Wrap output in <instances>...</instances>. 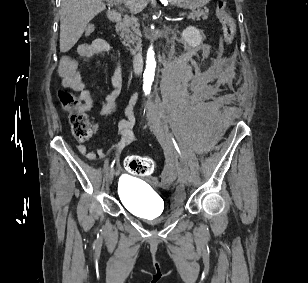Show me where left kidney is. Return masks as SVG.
<instances>
[{
	"label": "left kidney",
	"instance_id": "5707ae66",
	"mask_svg": "<svg viewBox=\"0 0 308 283\" xmlns=\"http://www.w3.org/2000/svg\"><path fill=\"white\" fill-rule=\"evenodd\" d=\"M182 39L191 47H198L203 41L201 32L193 26L183 30Z\"/></svg>",
	"mask_w": 308,
	"mask_h": 283
}]
</instances>
